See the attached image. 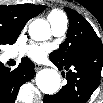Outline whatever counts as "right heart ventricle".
I'll list each match as a JSON object with an SVG mask.
<instances>
[{
	"label": "right heart ventricle",
	"mask_w": 103,
	"mask_h": 103,
	"mask_svg": "<svg viewBox=\"0 0 103 103\" xmlns=\"http://www.w3.org/2000/svg\"><path fill=\"white\" fill-rule=\"evenodd\" d=\"M61 17H64V15L57 11V10H53L49 15H48V20L49 21H54V20H58Z\"/></svg>",
	"instance_id": "1"
}]
</instances>
